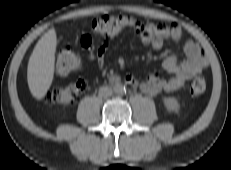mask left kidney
<instances>
[{
  "instance_id": "obj_1",
  "label": "left kidney",
  "mask_w": 231,
  "mask_h": 170,
  "mask_svg": "<svg viewBox=\"0 0 231 170\" xmlns=\"http://www.w3.org/2000/svg\"><path fill=\"white\" fill-rule=\"evenodd\" d=\"M163 102H164V105L166 106V108L168 109V111H171V112H177L178 111L179 103H178L176 98L167 97V98H164Z\"/></svg>"
}]
</instances>
